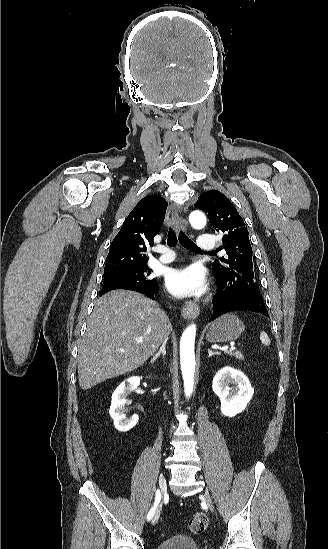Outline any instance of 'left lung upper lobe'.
<instances>
[{"mask_svg":"<svg viewBox=\"0 0 328 549\" xmlns=\"http://www.w3.org/2000/svg\"><path fill=\"white\" fill-rule=\"evenodd\" d=\"M195 207L208 213L210 224L223 236L226 257L212 265L216 280L227 290H238L255 295L261 300L252 263L249 233L242 217L231 201L221 192L210 190L200 195ZM263 300V299H262Z\"/></svg>","mask_w":328,"mask_h":549,"instance_id":"1","label":"left lung upper lobe"}]
</instances>
